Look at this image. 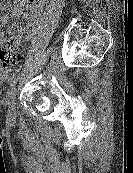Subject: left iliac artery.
Masks as SVG:
<instances>
[{
  "label": "left iliac artery",
  "instance_id": "1",
  "mask_svg": "<svg viewBox=\"0 0 133 173\" xmlns=\"http://www.w3.org/2000/svg\"><path fill=\"white\" fill-rule=\"evenodd\" d=\"M20 78V74H14L12 77H11V80H10V89L13 90L15 88V85L17 83V81L19 80Z\"/></svg>",
  "mask_w": 133,
  "mask_h": 173
}]
</instances>
